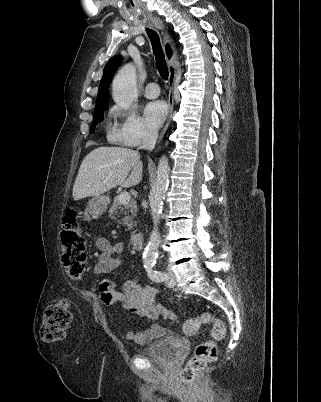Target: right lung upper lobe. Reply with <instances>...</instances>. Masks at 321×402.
I'll return each instance as SVG.
<instances>
[{"mask_svg": "<svg viewBox=\"0 0 321 402\" xmlns=\"http://www.w3.org/2000/svg\"><path fill=\"white\" fill-rule=\"evenodd\" d=\"M120 60L121 57L116 55L107 62L103 71V77L100 81L99 93L96 99L95 108L108 105V88L110 86L111 78L120 64Z\"/></svg>", "mask_w": 321, "mask_h": 402, "instance_id": "cb5924a9", "label": "right lung upper lobe"}]
</instances>
